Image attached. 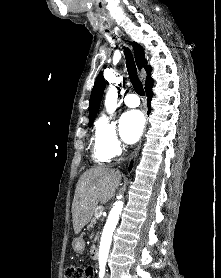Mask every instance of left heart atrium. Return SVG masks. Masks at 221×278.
Segmentation results:
<instances>
[{
    "label": "left heart atrium",
    "mask_w": 221,
    "mask_h": 278,
    "mask_svg": "<svg viewBox=\"0 0 221 278\" xmlns=\"http://www.w3.org/2000/svg\"><path fill=\"white\" fill-rule=\"evenodd\" d=\"M145 121L138 110L125 112L120 119L121 135L125 142L135 143L141 136Z\"/></svg>",
    "instance_id": "obj_1"
}]
</instances>
